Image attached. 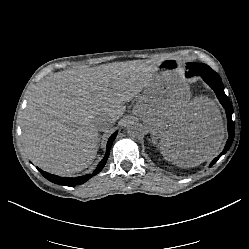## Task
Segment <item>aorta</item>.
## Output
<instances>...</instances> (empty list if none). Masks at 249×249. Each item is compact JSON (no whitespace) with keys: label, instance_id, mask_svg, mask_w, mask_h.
I'll return each mask as SVG.
<instances>
[{"label":"aorta","instance_id":"aorta-1","mask_svg":"<svg viewBox=\"0 0 249 249\" xmlns=\"http://www.w3.org/2000/svg\"><path fill=\"white\" fill-rule=\"evenodd\" d=\"M127 133L131 137H140L144 134V127L138 121H131L127 124Z\"/></svg>","mask_w":249,"mask_h":249}]
</instances>
